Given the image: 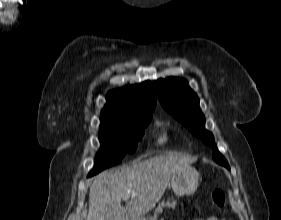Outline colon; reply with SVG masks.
I'll use <instances>...</instances> for the list:
<instances>
[{"instance_id": "colon-1", "label": "colon", "mask_w": 281, "mask_h": 220, "mask_svg": "<svg viewBox=\"0 0 281 220\" xmlns=\"http://www.w3.org/2000/svg\"><path fill=\"white\" fill-rule=\"evenodd\" d=\"M211 201L217 208H223L225 205V194L223 190L215 188L211 193Z\"/></svg>"}]
</instances>
